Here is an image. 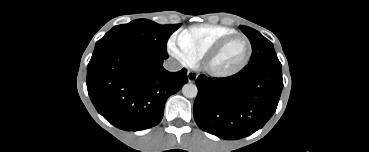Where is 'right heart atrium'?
<instances>
[{
	"label": "right heart atrium",
	"instance_id": "1",
	"mask_svg": "<svg viewBox=\"0 0 369 152\" xmlns=\"http://www.w3.org/2000/svg\"><path fill=\"white\" fill-rule=\"evenodd\" d=\"M168 51L185 65H192L193 58L190 53L180 45L178 39L172 37L168 41Z\"/></svg>",
	"mask_w": 369,
	"mask_h": 152
}]
</instances>
